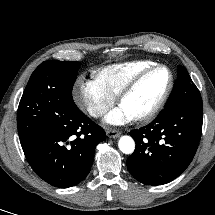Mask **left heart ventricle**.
<instances>
[{
    "label": "left heart ventricle",
    "mask_w": 215,
    "mask_h": 215,
    "mask_svg": "<svg viewBox=\"0 0 215 215\" xmlns=\"http://www.w3.org/2000/svg\"><path fill=\"white\" fill-rule=\"evenodd\" d=\"M169 79L168 72L157 69L145 77L121 105L132 117L149 111L162 95Z\"/></svg>",
    "instance_id": "1"
}]
</instances>
